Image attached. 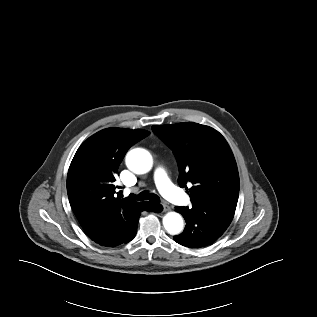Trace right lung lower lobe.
<instances>
[{
  "label": "right lung lower lobe",
  "instance_id": "98d812e1",
  "mask_svg": "<svg viewBox=\"0 0 317 317\" xmlns=\"http://www.w3.org/2000/svg\"><path fill=\"white\" fill-rule=\"evenodd\" d=\"M162 210L163 207L160 204L144 202L140 206H138L131 214H129L128 220L125 222V225L119 234L113 237L105 235L97 227H89L85 229V232L87 236L95 243H98L99 245H103L106 247H113L123 243H128L136 235L138 219L142 211L159 213Z\"/></svg>",
  "mask_w": 317,
  "mask_h": 317
}]
</instances>
